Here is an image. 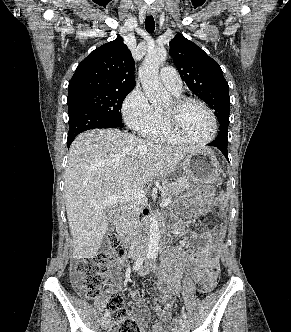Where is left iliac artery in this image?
<instances>
[{"instance_id":"left-iliac-artery-1","label":"left iliac artery","mask_w":291,"mask_h":332,"mask_svg":"<svg viewBox=\"0 0 291 332\" xmlns=\"http://www.w3.org/2000/svg\"><path fill=\"white\" fill-rule=\"evenodd\" d=\"M151 258L155 261L156 260V255H152ZM182 317L184 319H187V314L185 312H182Z\"/></svg>"}]
</instances>
